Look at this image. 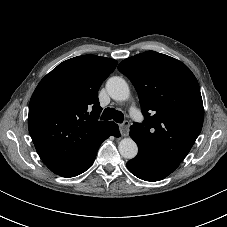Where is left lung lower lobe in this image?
<instances>
[{
    "mask_svg": "<svg viewBox=\"0 0 227 227\" xmlns=\"http://www.w3.org/2000/svg\"><path fill=\"white\" fill-rule=\"evenodd\" d=\"M138 149V155L127 162V168L133 175L142 180H162L179 166V163L164 160L145 149Z\"/></svg>",
    "mask_w": 227,
    "mask_h": 227,
    "instance_id": "left-lung-lower-lobe-1",
    "label": "left lung lower lobe"
}]
</instances>
